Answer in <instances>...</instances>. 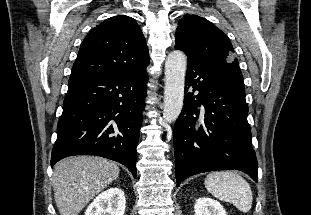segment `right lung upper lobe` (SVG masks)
Returning a JSON list of instances; mask_svg holds the SVG:
<instances>
[{"label": "right lung upper lobe", "mask_w": 311, "mask_h": 215, "mask_svg": "<svg viewBox=\"0 0 311 215\" xmlns=\"http://www.w3.org/2000/svg\"><path fill=\"white\" fill-rule=\"evenodd\" d=\"M150 62L137 22L126 15L111 17L94 27L81 43L71 75H131Z\"/></svg>", "instance_id": "1"}]
</instances>
